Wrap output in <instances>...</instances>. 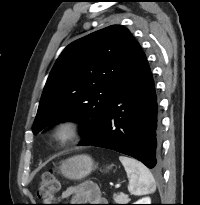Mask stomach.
Returning a JSON list of instances; mask_svg holds the SVG:
<instances>
[{"label": "stomach", "instance_id": "0dacf381", "mask_svg": "<svg viewBox=\"0 0 200 205\" xmlns=\"http://www.w3.org/2000/svg\"><path fill=\"white\" fill-rule=\"evenodd\" d=\"M93 159L85 154L70 157L61 162L59 170L63 176L73 180H80L94 170Z\"/></svg>", "mask_w": 200, "mask_h": 205}]
</instances>
